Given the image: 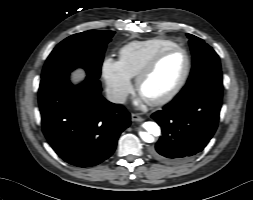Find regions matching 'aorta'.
<instances>
[{"label": "aorta", "mask_w": 253, "mask_h": 200, "mask_svg": "<svg viewBox=\"0 0 253 200\" xmlns=\"http://www.w3.org/2000/svg\"><path fill=\"white\" fill-rule=\"evenodd\" d=\"M143 127L146 132H141L140 137L147 143H152L154 141L153 136L160 135V127L155 122H145L143 124Z\"/></svg>", "instance_id": "obj_1"}]
</instances>
